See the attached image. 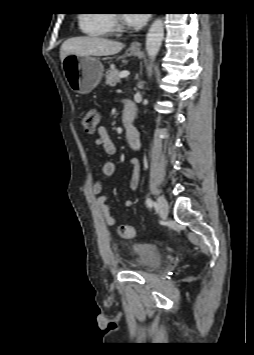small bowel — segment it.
Listing matches in <instances>:
<instances>
[{"label": "small bowel", "mask_w": 254, "mask_h": 355, "mask_svg": "<svg viewBox=\"0 0 254 355\" xmlns=\"http://www.w3.org/2000/svg\"><path fill=\"white\" fill-rule=\"evenodd\" d=\"M126 102L124 103V111H126ZM135 113V109H134ZM127 141L132 149L138 150L140 148L139 135L136 130H133L130 133L126 134ZM98 149H102L108 156L109 159L102 166V174L104 176H111L114 174L116 170V164L113 160V156L116 154V145L113 140L110 138L108 131L105 127L101 126L97 131V138L94 142V151L96 152ZM129 165L132 168V177L130 180V189L135 190L139 183V171L140 166L137 159H131L129 161ZM92 194L97 199V205L109 226H114L116 224V220L111 213V208L108 204L107 197L103 194V186L100 182H95L91 188ZM132 201L130 199L125 200V206L131 207Z\"/></svg>", "instance_id": "obj_1"}]
</instances>
